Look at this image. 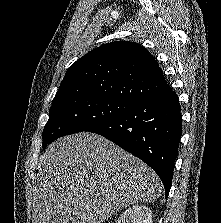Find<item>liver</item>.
Instances as JSON below:
<instances>
[{"label":"liver","instance_id":"1","mask_svg":"<svg viewBox=\"0 0 221 223\" xmlns=\"http://www.w3.org/2000/svg\"><path fill=\"white\" fill-rule=\"evenodd\" d=\"M33 223H101L130 205L156 201L157 174L104 137L64 136L39 159Z\"/></svg>","mask_w":221,"mask_h":223}]
</instances>
